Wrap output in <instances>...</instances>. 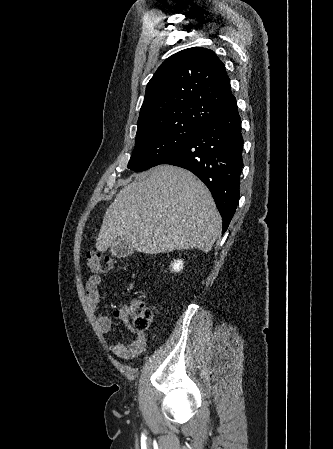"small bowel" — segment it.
Masks as SVG:
<instances>
[{"instance_id":"small-bowel-1","label":"small bowel","mask_w":333,"mask_h":449,"mask_svg":"<svg viewBox=\"0 0 333 449\" xmlns=\"http://www.w3.org/2000/svg\"><path fill=\"white\" fill-rule=\"evenodd\" d=\"M101 280L102 279L100 275H92L88 278L85 287L88 305L95 315L98 329L101 333L106 334L110 332L112 328V322L107 315L101 312V295L99 291ZM128 315V307H123L114 311V316L122 321H125ZM133 332L134 338L129 344L126 345L121 342H116L110 346V350L114 355L128 360L141 355L146 350V332L144 330H135Z\"/></svg>"}]
</instances>
